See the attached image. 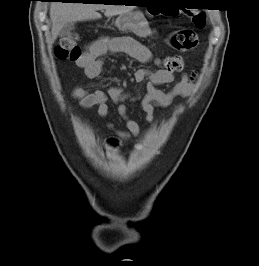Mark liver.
I'll list each match as a JSON object with an SVG mask.
<instances>
[{
	"instance_id": "1",
	"label": "liver",
	"mask_w": 259,
	"mask_h": 266,
	"mask_svg": "<svg viewBox=\"0 0 259 266\" xmlns=\"http://www.w3.org/2000/svg\"><path fill=\"white\" fill-rule=\"evenodd\" d=\"M102 9L105 10V16L109 17L129 13L132 10V7H125L123 5L52 3L50 5V19L52 22L51 43L57 39L66 24L99 19L101 15L98 13V10Z\"/></svg>"
}]
</instances>
